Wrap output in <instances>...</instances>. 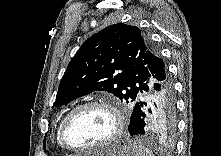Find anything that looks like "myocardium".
<instances>
[{"mask_svg": "<svg viewBox=\"0 0 221 156\" xmlns=\"http://www.w3.org/2000/svg\"><path fill=\"white\" fill-rule=\"evenodd\" d=\"M91 107H102L110 111L114 119L113 130L106 139H104L103 141L97 144L91 146H74L70 144L69 141L67 140L68 126L80 112ZM123 127H124L123 115L119 107L114 102L108 99H94L76 106L65 116L59 130V141L63 146V148L70 151L82 152V151L95 150L107 146L113 141H115L120 136Z\"/></svg>", "mask_w": 221, "mask_h": 156, "instance_id": "myocardium-1", "label": "myocardium"}]
</instances>
